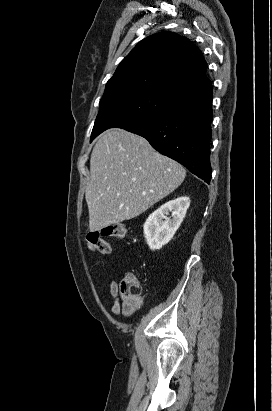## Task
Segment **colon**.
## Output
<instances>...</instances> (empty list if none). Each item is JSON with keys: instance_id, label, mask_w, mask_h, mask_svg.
Here are the masks:
<instances>
[{"instance_id": "colon-1", "label": "colon", "mask_w": 272, "mask_h": 411, "mask_svg": "<svg viewBox=\"0 0 272 411\" xmlns=\"http://www.w3.org/2000/svg\"><path fill=\"white\" fill-rule=\"evenodd\" d=\"M126 233V224L122 222L108 224L99 231L90 232L87 236V243L93 251L110 254L112 248L107 238H123ZM118 296L122 302L123 312L126 315L132 314L141 297V286L135 274H125L119 284Z\"/></svg>"}]
</instances>
